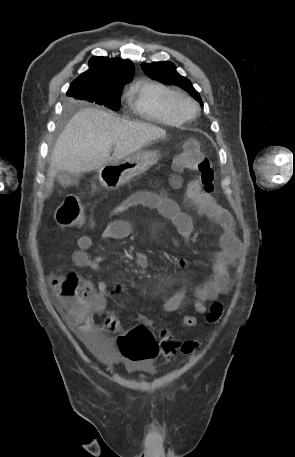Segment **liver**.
<instances>
[{
  "label": "liver",
  "instance_id": "liver-1",
  "mask_svg": "<svg viewBox=\"0 0 295 457\" xmlns=\"http://www.w3.org/2000/svg\"><path fill=\"white\" fill-rule=\"evenodd\" d=\"M165 137L166 131L155 125L122 120L99 109H82L68 121L54 145L46 190L49 193L53 188L58 171L79 174L100 169Z\"/></svg>",
  "mask_w": 295,
  "mask_h": 457
}]
</instances>
